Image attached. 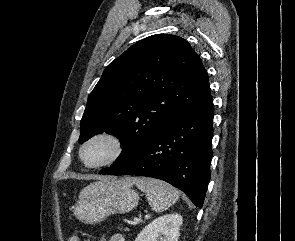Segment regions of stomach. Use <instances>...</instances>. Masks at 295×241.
<instances>
[{"instance_id": "0dacf381", "label": "stomach", "mask_w": 295, "mask_h": 241, "mask_svg": "<svg viewBox=\"0 0 295 241\" xmlns=\"http://www.w3.org/2000/svg\"><path fill=\"white\" fill-rule=\"evenodd\" d=\"M125 181L126 178L104 180L86 187L74 209L77 219L85 224H96L111 214L133 210L139 196Z\"/></svg>"}]
</instances>
